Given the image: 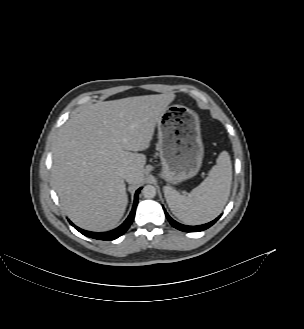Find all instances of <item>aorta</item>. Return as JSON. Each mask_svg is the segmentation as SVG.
<instances>
[{
    "instance_id": "aorta-1",
    "label": "aorta",
    "mask_w": 304,
    "mask_h": 329,
    "mask_svg": "<svg viewBox=\"0 0 304 329\" xmlns=\"http://www.w3.org/2000/svg\"><path fill=\"white\" fill-rule=\"evenodd\" d=\"M142 194L145 198H154L156 196V188L153 185H146L142 189Z\"/></svg>"
}]
</instances>
